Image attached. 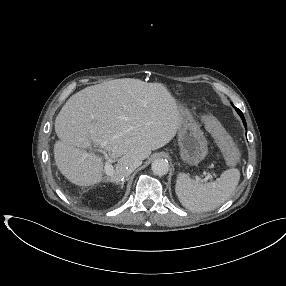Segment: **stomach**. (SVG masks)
Masks as SVG:
<instances>
[{"label": "stomach", "instance_id": "stomach-1", "mask_svg": "<svg viewBox=\"0 0 286 286\" xmlns=\"http://www.w3.org/2000/svg\"><path fill=\"white\" fill-rule=\"evenodd\" d=\"M181 123L178 129V143L184 160L189 165H198L208 154V142L199 124L191 113L179 106Z\"/></svg>", "mask_w": 286, "mask_h": 286}]
</instances>
